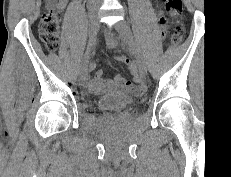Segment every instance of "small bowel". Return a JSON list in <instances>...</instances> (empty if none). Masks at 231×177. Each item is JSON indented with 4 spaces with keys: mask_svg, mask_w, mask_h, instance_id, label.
<instances>
[{
    "mask_svg": "<svg viewBox=\"0 0 231 177\" xmlns=\"http://www.w3.org/2000/svg\"><path fill=\"white\" fill-rule=\"evenodd\" d=\"M67 1L68 0H58L56 5L57 9L62 11L66 7ZM110 45L113 46L114 42L111 41ZM130 68L132 69L135 78H137L135 66L131 65ZM88 86L93 93H102L119 88H124L130 91L135 90L133 83L124 79L122 76L117 75L114 78H105L101 70L97 71L89 80ZM137 90L143 91V87L140 86Z\"/></svg>",
    "mask_w": 231,
    "mask_h": 177,
    "instance_id": "c3829d8e",
    "label": "small bowel"
}]
</instances>
